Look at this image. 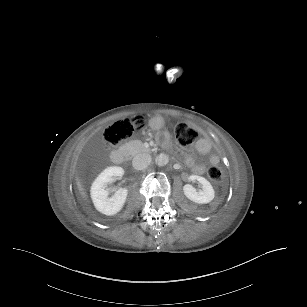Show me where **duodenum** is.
<instances>
[{
	"label": "duodenum",
	"mask_w": 307,
	"mask_h": 307,
	"mask_svg": "<svg viewBox=\"0 0 307 307\" xmlns=\"http://www.w3.org/2000/svg\"><path fill=\"white\" fill-rule=\"evenodd\" d=\"M127 151L124 148L115 149L111 154V159L113 163L117 165H122L126 161Z\"/></svg>",
	"instance_id": "1"
}]
</instances>
